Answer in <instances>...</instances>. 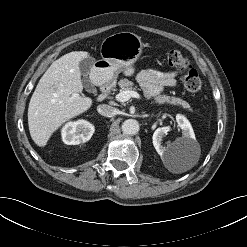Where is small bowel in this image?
Instances as JSON below:
<instances>
[{"mask_svg": "<svg viewBox=\"0 0 247 247\" xmlns=\"http://www.w3.org/2000/svg\"><path fill=\"white\" fill-rule=\"evenodd\" d=\"M137 81L140 83L147 97H153L160 93L164 87H173L177 83V73L158 69H147L137 74Z\"/></svg>", "mask_w": 247, "mask_h": 247, "instance_id": "1", "label": "small bowel"}]
</instances>
